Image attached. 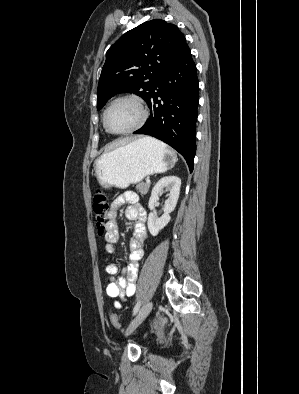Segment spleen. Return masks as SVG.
Listing matches in <instances>:
<instances>
[{"label": "spleen", "mask_w": 299, "mask_h": 394, "mask_svg": "<svg viewBox=\"0 0 299 394\" xmlns=\"http://www.w3.org/2000/svg\"><path fill=\"white\" fill-rule=\"evenodd\" d=\"M155 140V139H154ZM155 142L156 143H161V142H159V141H157V140H155ZM163 146H166V145H164L163 143H161Z\"/></svg>", "instance_id": "1"}]
</instances>
